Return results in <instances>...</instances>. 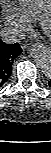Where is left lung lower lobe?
Instances as JSON below:
<instances>
[{
	"label": "left lung lower lobe",
	"instance_id": "1",
	"mask_svg": "<svg viewBox=\"0 0 51 153\" xmlns=\"http://www.w3.org/2000/svg\"><path fill=\"white\" fill-rule=\"evenodd\" d=\"M49 85H50V87H51V80L49 81Z\"/></svg>",
	"mask_w": 51,
	"mask_h": 153
}]
</instances>
